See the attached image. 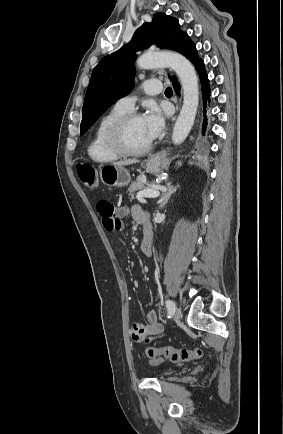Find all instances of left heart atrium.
<instances>
[{"label": "left heart atrium", "instance_id": "39dd6f15", "mask_svg": "<svg viewBox=\"0 0 283 434\" xmlns=\"http://www.w3.org/2000/svg\"><path fill=\"white\" fill-rule=\"evenodd\" d=\"M144 131L150 141L157 138L164 128V117L161 110L152 106L141 117Z\"/></svg>", "mask_w": 283, "mask_h": 434}]
</instances>
